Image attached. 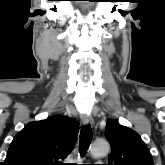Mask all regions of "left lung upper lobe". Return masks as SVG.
<instances>
[{
    "label": "left lung upper lobe",
    "instance_id": "1",
    "mask_svg": "<svg viewBox=\"0 0 165 165\" xmlns=\"http://www.w3.org/2000/svg\"><path fill=\"white\" fill-rule=\"evenodd\" d=\"M105 136L111 145L108 165H153L150 151L135 131L108 120Z\"/></svg>",
    "mask_w": 165,
    "mask_h": 165
}]
</instances>
